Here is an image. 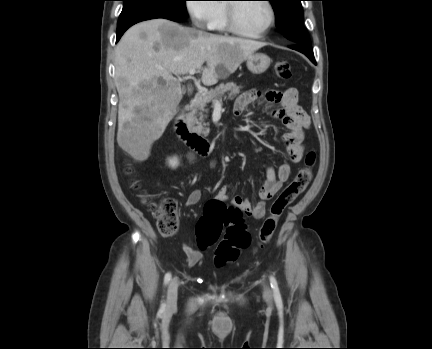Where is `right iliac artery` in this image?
Returning <instances> with one entry per match:
<instances>
[{
  "label": "right iliac artery",
  "instance_id": "right-iliac-artery-1",
  "mask_svg": "<svg viewBox=\"0 0 432 349\" xmlns=\"http://www.w3.org/2000/svg\"><path fill=\"white\" fill-rule=\"evenodd\" d=\"M170 279H171V274H170V273H167V274L165 275V277H164V284L167 285V284L169 283ZM164 309H165V304L162 303V305H161V309H160V310H161V311H164Z\"/></svg>",
  "mask_w": 432,
  "mask_h": 349
}]
</instances>
